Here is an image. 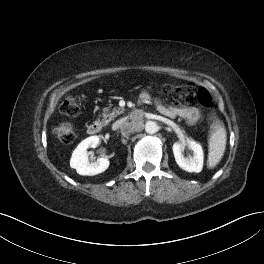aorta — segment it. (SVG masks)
I'll list each match as a JSON object with an SVG mask.
<instances>
[{"label":"aorta","instance_id":"obj_1","mask_svg":"<svg viewBox=\"0 0 264 264\" xmlns=\"http://www.w3.org/2000/svg\"><path fill=\"white\" fill-rule=\"evenodd\" d=\"M145 131L148 134H154L158 131V125L154 121H148L145 124Z\"/></svg>","mask_w":264,"mask_h":264}]
</instances>
